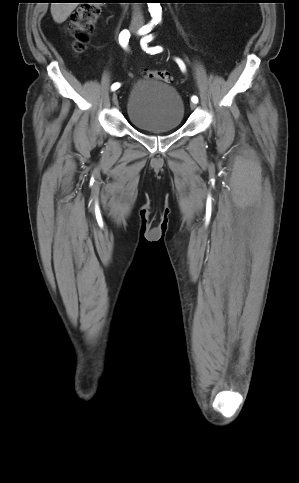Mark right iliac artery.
I'll list each match as a JSON object with an SVG mask.
<instances>
[{"mask_svg": "<svg viewBox=\"0 0 299 483\" xmlns=\"http://www.w3.org/2000/svg\"><path fill=\"white\" fill-rule=\"evenodd\" d=\"M156 25V24H155ZM154 26V23L153 24H150V25H146L144 27H142L140 30H139V34L140 35H144V34H147L148 32L151 31L152 27ZM129 38H130V33L128 30H123L120 35H119V43L121 44L122 47L124 48H127V45H128V42H129ZM120 83L119 82H116L114 83L112 86H111V89L112 91H115L117 90L119 87H120Z\"/></svg>", "mask_w": 299, "mask_h": 483, "instance_id": "obj_1", "label": "right iliac artery"}]
</instances>
